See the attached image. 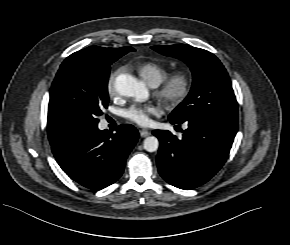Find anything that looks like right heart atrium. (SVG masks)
I'll return each instance as SVG.
<instances>
[{
	"label": "right heart atrium",
	"mask_w": 290,
	"mask_h": 245,
	"mask_svg": "<svg viewBox=\"0 0 290 245\" xmlns=\"http://www.w3.org/2000/svg\"><path fill=\"white\" fill-rule=\"evenodd\" d=\"M120 69L115 71L109 78L108 83H107V92L109 96L113 97L117 95V88H116V77L119 74Z\"/></svg>",
	"instance_id": "obj_1"
}]
</instances>
